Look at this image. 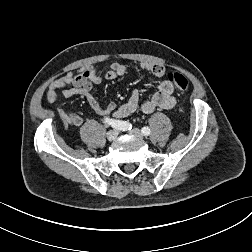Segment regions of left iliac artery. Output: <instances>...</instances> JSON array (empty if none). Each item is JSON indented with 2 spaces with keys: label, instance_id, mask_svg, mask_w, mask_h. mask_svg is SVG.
<instances>
[{
  "label": "left iliac artery",
  "instance_id": "left-iliac-artery-1",
  "mask_svg": "<svg viewBox=\"0 0 252 252\" xmlns=\"http://www.w3.org/2000/svg\"><path fill=\"white\" fill-rule=\"evenodd\" d=\"M141 132H142L143 135L148 136V135H150L151 130H150L149 127H143Z\"/></svg>",
  "mask_w": 252,
  "mask_h": 252
}]
</instances>
